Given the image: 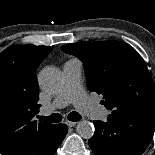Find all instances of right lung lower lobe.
<instances>
[{"mask_svg":"<svg viewBox=\"0 0 155 155\" xmlns=\"http://www.w3.org/2000/svg\"><path fill=\"white\" fill-rule=\"evenodd\" d=\"M56 127H57L56 139L45 155H53L55 151L57 150V147L63 141L64 137L66 136L68 132L67 126L65 124L56 125Z\"/></svg>","mask_w":155,"mask_h":155,"instance_id":"right-lung-lower-lobe-1","label":"right lung lower lobe"}]
</instances>
